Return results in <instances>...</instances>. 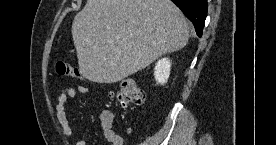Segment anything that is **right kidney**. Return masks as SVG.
Instances as JSON below:
<instances>
[{"label": "right kidney", "mask_w": 276, "mask_h": 145, "mask_svg": "<svg viewBox=\"0 0 276 145\" xmlns=\"http://www.w3.org/2000/svg\"><path fill=\"white\" fill-rule=\"evenodd\" d=\"M171 69V62L168 58L160 59L154 68V76L157 83L163 85L167 82Z\"/></svg>", "instance_id": "right-kidney-1"}]
</instances>
